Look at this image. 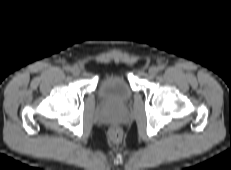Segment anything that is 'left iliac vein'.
<instances>
[{
	"instance_id": "obj_1",
	"label": "left iliac vein",
	"mask_w": 231,
	"mask_h": 170,
	"mask_svg": "<svg viewBox=\"0 0 231 170\" xmlns=\"http://www.w3.org/2000/svg\"><path fill=\"white\" fill-rule=\"evenodd\" d=\"M157 72H158L157 67L152 66V67L149 68V75L150 76L154 77L157 74Z\"/></svg>"
}]
</instances>
